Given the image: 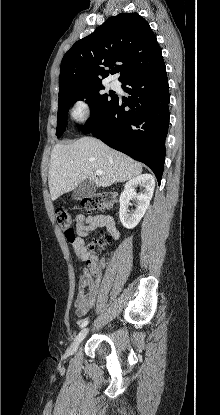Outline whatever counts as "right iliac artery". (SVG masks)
<instances>
[{"label":"right iliac artery","instance_id":"right-iliac-artery-1","mask_svg":"<svg viewBox=\"0 0 220 415\" xmlns=\"http://www.w3.org/2000/svg\"><path fill=\"white\" fill-rule=\"evenodd\" d=\"M89 323L88 320H85L84 322H82V324L80 325V328H84L85 326H87V324Z\"/></svg>","mask_w":220,"mask_h":415}]
</instances>
